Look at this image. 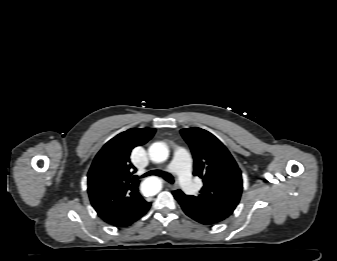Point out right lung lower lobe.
I'll list each match as a JSON object with an SVG mask.
<instances>
[{"mask_svg":"<svg viewBox=\"0 0 337 261\" xmlns=\"http://www.w3.org/2000/svg\"><path fill=\"white\" fill-rule=\"evenodd\" d=\"M150 205H151V203L147 202L146 205L144 206V209L142 210V212L138 216H136L133 219L125 220V221H123L121 223H118V224H116L114 226H116V227H127V226L131 225L133 222H135L136 220H138L140 217H142L149 210Z\"/></svg>","mask_w":337,"mask_h":261,"instance_id":"obj_1","label":"right lung lower lobe"}]
</instances>
